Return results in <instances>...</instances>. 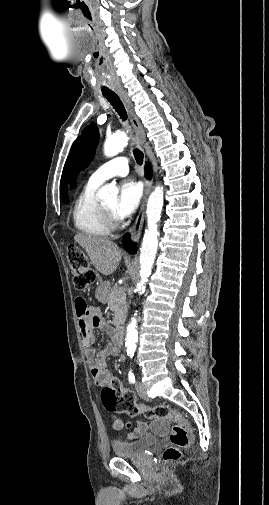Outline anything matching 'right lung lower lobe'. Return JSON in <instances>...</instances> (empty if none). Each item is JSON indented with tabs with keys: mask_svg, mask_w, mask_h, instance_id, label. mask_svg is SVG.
I'll return each instance as SVG.
<instances>
[{
	"mask_svg": "<svg viewBox=\"0 0 269 505\" xmlns=\"http://www.w3.org/2000/svg\"><path fill=\"white\" fill-rule=\"evenodd\" d=\"M145 172H146V175L148 178H151V175H152V171H151V167H150V164L148 162H146L145 164ZM130 236L128 234H126L123 238V245H124V248L129 252V253H136L137 251V246L132 244L131 241H130Z\"/></svg>",
	"mask_w": 269,
	"mask_h": 505,
	"instance_id": "obj_1",
	"label": "right lung lower lobe"
}]
</instances>
